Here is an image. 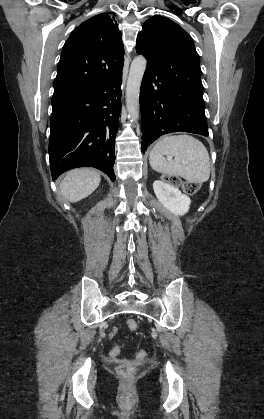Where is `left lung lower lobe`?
<instances>
[{"label": "left lung lower lobe", "mask_w": 264, "mask_h": 419, "mask_svg": "<svg viewBox=\"0 0 264 419\" xmlns=\"http://www.w3.org/2000/svg\"><path fill=\"white\" fill-rule=\"evenodd\" d=\"M150 53L138 52L147 58L140 89L142 152L160 136L171 132L208 136L202 83L164 77Z\"/></svg>", "instance_id": "0a47b994"}]
</instances>
